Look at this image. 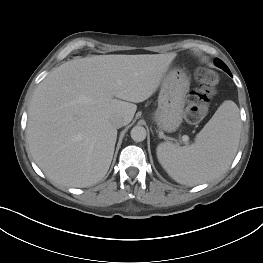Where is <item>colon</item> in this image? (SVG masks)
<instances>
[{"mask_svg": "<svg viewBox=\"0 0 263 263\" xmlns=\"http://www.w3.org/2000/svg\"><path fill=\"white\" fill-rule=\"evenodd\" d=\"M195 76L197 86L188 95L185 108V118L191 123H197L206 116L220 81L215 71L206 68L198 69Z\"/></svg>", "mask_w": 263, "mask_h": 263, "instance_id": "1", "label": "colon"}]
</instances>
